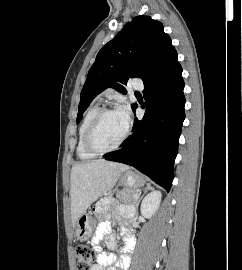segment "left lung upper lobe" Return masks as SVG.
Masks as SVG:
<instances>
[{
	"mask_svg": "<svg viewBox=\"0 0 242 270\" xmlns=\"http://www.w3.org/2000/svg\"><path fill=\"white\" fill-rule=\"evenodd\" d=\"M177 57L162 23L150 16H137L97 54L81 91L77 122L90 102L103 90L113 87L126 94L129 78L144 81ZM137 105H132L134 110Z\"/></svg>",
	"mask_w": 242,
	"mask_h": 270,
	"instance_id": "left-lung-upper-lobe-1",
	"label": "left lung upper lobe"
}]
</instances>
